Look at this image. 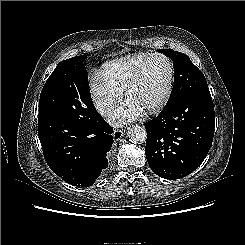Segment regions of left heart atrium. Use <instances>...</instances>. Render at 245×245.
Masks as SVG:
<instances>
[{
	"label": "left heart atrium",
	"instance_id": "left-heart-atrium-1",
	"mask_svg": "<svg viewBox=\"0 0 245 245\" xmlns=\"http://www.w3.org/2000/svg\"><path fill=\"white\" fill-rule=\"evenodd\" d=\"M143 110L134 101L127 99L112 109L108 114V118L114 125L121 126L138 118L143 113Z\"/></svg>",
	"mask_w": 245,
	"mask_h": 245
}]
</instances>
